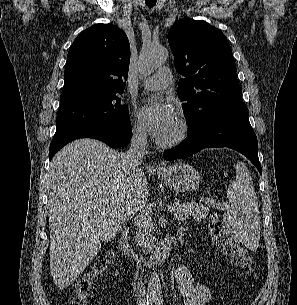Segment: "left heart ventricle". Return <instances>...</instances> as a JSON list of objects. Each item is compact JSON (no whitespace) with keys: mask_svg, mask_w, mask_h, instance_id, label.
Returning <instances> with one entry per match:
<instances>
[{"mask_svg":"<svg viewBox=\"0 0 297 305\" xmlns=\"http://www.w3.org/2000/svg\"><path fill=\"white\" fill-rule=\"evenodd\" d=\"M177 130V122L175 120L174 124L170 128V130L161 138V139H169L171 138Z\"/></svg>","mask_w":297,"mask_h":305,"instance_id":"left-heart-ventricle-1","label":"left heart ventricle"}]
</instances>
